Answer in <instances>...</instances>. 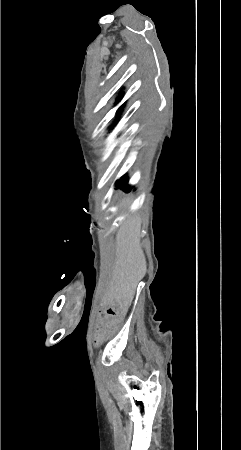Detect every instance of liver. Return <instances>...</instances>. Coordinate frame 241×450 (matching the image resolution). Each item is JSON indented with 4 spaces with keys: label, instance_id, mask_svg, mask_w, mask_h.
<instances>
[{
    "label": "liver",
    "instance_id": "liver-1",
    "mask_svg": "<svg viewBox=\"0 0 241 450\" xmlns=\"http://www.w3.org/2000/svg\"><path fill=\"white\" fill-rule=\"evenodd\" d=\"M141 218L129 216L116 234V258L108 296L130 306L135 290L146 274V260L140 246Z\"/></svg>",
    "mask_w": 241,
    "mask_h": 450
}]
</instances>
